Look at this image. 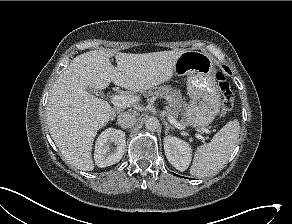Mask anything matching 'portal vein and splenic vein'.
<instances>
[{"instance_id":"18ae733b","label":"portal vein and splenic vein","mask_w":292,"mask_h":224,"mask_svg":"<svg viewBox=\"0 0 292 224\" xmlns=\"http://www.w3.org/2000/svg\"><path fill=\"white\" fill-rule=\"evenodd\" d=\"M136 97H132L130 95H115L111 98V102L113 105L120 107V108H127L131 107L134 103L137 102ZM168 121L176 128L183 129L182 125L178 123L173 117L167 116ZM204 132L209 133L208 129H203ZM196 138L203 139L201 135H196Z\"/></svg>"}]
</instances>
